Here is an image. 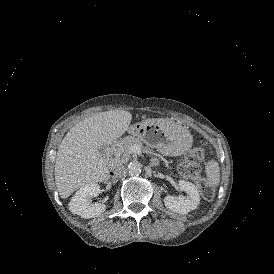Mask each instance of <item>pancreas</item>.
<instances>
[{
	"label": "pancreas",
	"mask_w": 274,
	"mask_h": 274,
	"mask_svg": "<svg viewBox=\"0 0 274 274\" xmlns=\"http://www.w3.org/2000/svg\"><path fill=\"white\" fill-rule=\"evenodd\" d=\"M132 145L140 146L141 142L134 136H126L111 147L110 151H107V155L109 157L112 155L111 159L113 160L114 166H120L128 162L130 158L129 148ZM142 151L148 153V149L146 147H143Z\"/></svg>",
	"instance_id": "obj_1"
}]
</instances>
